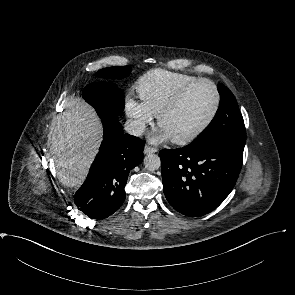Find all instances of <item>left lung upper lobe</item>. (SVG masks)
<instances>
[{"label": "left lung upper lobe", "mask_w": 295, "mask_h": 295, "mask_svg": "<svg viewBox=\"0 0 295 295\" xmlns=\"http://www.w3.org/2000/svg\"><path fill=\"white\" fill-rule=\"evenodd\" d=\"M217 88L221 101L216 115L206 130L189 146L224 143L244 150L246 130L236 99L223 84L220 83Z\"/></svg>", "instance_id": "left-lung-upper-lobe-1"}]
</instances>
